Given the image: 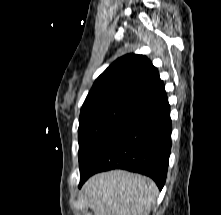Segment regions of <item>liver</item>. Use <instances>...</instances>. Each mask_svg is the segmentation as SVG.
<instances>
[{"label":"liver","mask_w":221,"mask_h":215,"mask_svg":"<svg viewBox=\"0 0 221 215\" xmlns=\"http://www.w3.org/2000/svg\"><path fill=\"white\" fill-rule=\"evenodd\" d=\"M83 192L94 215H149L159 189L148 177L113 170L92 176Z\"/></svg>","instance_id":"obj_1"}]
</instances>
